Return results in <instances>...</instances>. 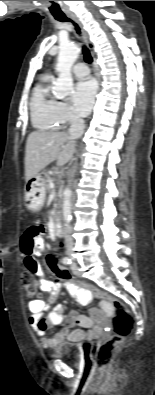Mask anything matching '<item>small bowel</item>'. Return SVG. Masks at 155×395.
<instances>
[{
  "mask_svg": "<svg viewBox=\"0 0 155 395\" xmlns=\"http://www.w3.org/2000/svg\"><path fill=\"white\" fill-rule=\"evenodd\" d=\"M42 233L43 230L41 228L33 227L22 236L20 241L21 252L24 256V264L26 258H31V271L39 278L42 290L48 293L47 301L41 299H32L29 301L28 309L31 312L29 324L34 329L37 336L41 338V345L44 348H52L57 343L65 340L80 342L88 338H93L102 330V323L104 322L102 313L97 311L93 313L101 324L93 327L92 318L78 315L73 312L67 319L66 327L61 329L55 336L51 338L46 337L47 330L50 327L58 326L63 321V307L61 305L54 307L47 317L43 316L49 306L56 301L62 288L67 290L81 304H88L95 294L87 292L86 288H80V286L76 284H55L45 277L40 264L36 260V256L39 255L44 248V244L40 238ZM99 311H103L104 315H111L112 304H99ZM75 326H78V328H74ZM85 329L90 330L86 331Z\"/></svg>",
  "mask_w": 155,
  "mask_h": 395,
  "instance_id": "1",
  "label": "small bowel"
}]
</instances>
